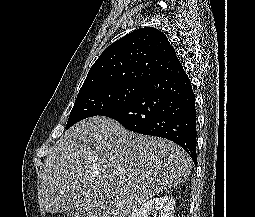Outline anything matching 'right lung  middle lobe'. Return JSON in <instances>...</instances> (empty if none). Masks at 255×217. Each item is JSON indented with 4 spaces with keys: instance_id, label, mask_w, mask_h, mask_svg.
<instances>
[{
    "instance_id": "1",
    "label": "right lung middle lobe",
    "mask_w": 255,
    "mask_h": 217,
    "mask_svg": "<svg viewBox=\"0 0 255 217\" xmlns=\"http://www.w3.org/2000/svg\"><path fill=\"white\" fill-rule=\"evenodd\" d=\"M146 87L143 84H111L79 92L66 129L85 118L101 115L131 102Z\"/></svg>"
}]
</instances>
